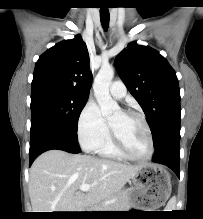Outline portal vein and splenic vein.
Listing matches in <instances>:
<instances>
[{
	"label": "portal vein and splenic vein",
	"mask_w": 203,
	"mask_h": 219,
	"mask_svg": "<svg viewBox=\"0 0 203 219\" xmlns=\"http://www.w3.org/2000/svg\"><path fill=\"white\" fill-rule=\"evenodd\" d=\"M92 186L93 185H90V184H82L80 186V190L83 191V192H86V191L90 190Z\"/></svg>",
	"instance_id": "portal-vein-and-splenic-vein-1"
}]
</instances>
